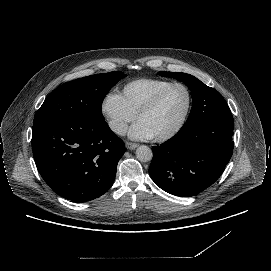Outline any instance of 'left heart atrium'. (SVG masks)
Masks as SVG:
<instances>
[{
    "mask_svg": "<svg viewBox=\"0 0 271 271\" xmlns=\"http://www.w3.org/2000/svg\"><path fill=\"white\" fill-rule=\"evenodd\" d=\"M129 135L135 141H145L152 138L151 133L141 121H138L131 127Z\"/></svg>",
    "mask_w": 271,
    "mask_h": 271,
    "instance_id": "39dd6f15",
    "label": "left heart atrium"
}]
</instances>
